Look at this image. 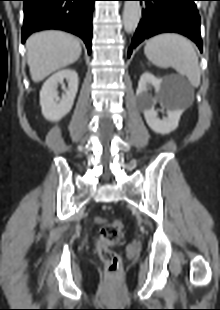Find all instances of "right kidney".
Listing matches in <instances>:
<instances>
[{"label": "right kidney", "instance_id": "ca27d5eb", "mask_svg": "<svg viewBox=\"0 0 220 310\" xmlns=\"http://www.w3.org/2000/svg\"><path fill=\"white\" fill-rule=\"evenodd\" d=\"M68 81V87L62 86L64 93L59 97L58 83ZM79 85L78 74L73 69H62L49 77L40 91V105L43 116L52 122L61 120L73 106Z\"/></svg>", "mask_w": 220, "mask_h": 310}]
</instances>
